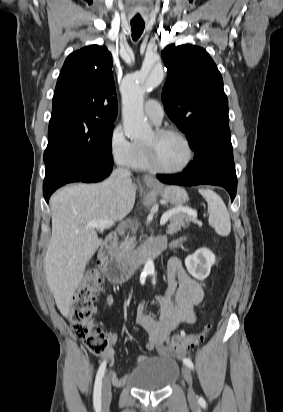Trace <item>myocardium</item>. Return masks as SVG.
Instances as JSON below:
<instances>
[{
  "label": "myocardium",
  "mask_w": 283,
  "mask_h": 412,
  "mask_svg": "<svg viewBox=\"0 0 283 412\" xmlns=\"http://www.w3.org/2000/svg\"><path fill=\"white\" fill-rule=\"evenodd\" d=\"M154 134L157 137L172 135L178 138L185 145L187 149V158L184 164L178 168H175V169L163 168L159 166L158 163L156 162L153 145L150 143H144L146 159H147L148 165L151 170L158 172V173H163V174H178V173L184 172L187 168H189V166L191 165L194 159V149H193L191 142L184 134L172 128H157L154 130Z\"/></svg>",
  "instance_id": "1"
}]
</instances>
